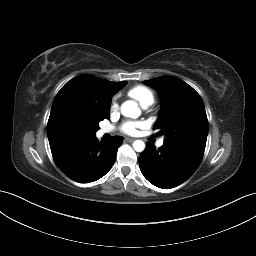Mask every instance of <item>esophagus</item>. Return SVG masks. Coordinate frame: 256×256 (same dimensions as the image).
Instances as JSON below:
<instances>
[{"mask_svg": "<svg viewBox=\"0 0 256 256\" xmlns=\"http://www.w3.org/2000/svg\"><path fill=\"white\" fill-rule=\"evenodd\" d=\"M135 139L134 138H125V142H133Z\"/></svg>", "mask_w": 256, "mask_h": 256, "instance_id": "esophagus-1", "label": "esophagus"}]
</instances>
